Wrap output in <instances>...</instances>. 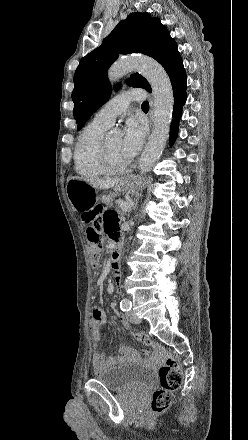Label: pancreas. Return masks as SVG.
<instances>
[{
    "label": "pancreas",
    "mask_w": 248,
    "mask_h": 440,
    "mask_svg": "<svg viewBox=\"0 0 248 440\" xmlns=\"http://www.w3.org/2000/svg\"><path fill=\"white\" fill-rule=\"evenodd\" d=\"M102 202L105 204H112L113 201L115 200V195H107V196H103L101 198ZM124 213V212H123Z\"/></svg>",
    "instance_id": "obj_1"
}]
</instances>
